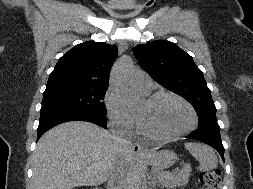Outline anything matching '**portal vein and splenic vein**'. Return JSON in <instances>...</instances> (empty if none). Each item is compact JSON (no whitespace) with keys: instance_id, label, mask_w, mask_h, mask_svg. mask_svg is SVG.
Wrapping results in <instances>:
<instances>
[{"instance_id":"portal-vein-and-splenic-vein-1","label":"portal vein and splenic vein","mask_w":253,"mask_h":189,"mask_svg":"<svg viewBox=\"0 0 253 189\" xmlns=\"http://www.w3.org/2000/svg\"><path fill=\"white\" fill-rule=\"evenodd\" d=\"M184 169H185V170H190L191 167H190V165H185V166H184ZM175 171H178V170H175Z\"/></svg>"}]
</instances>
